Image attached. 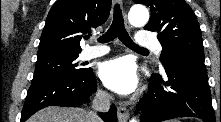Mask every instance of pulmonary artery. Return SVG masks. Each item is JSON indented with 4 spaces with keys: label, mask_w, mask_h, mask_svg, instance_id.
I'll return each mask as SVG.
<instances>
[{
    "label": "pulmonary artery",
    "mask_w": 221,
    "mask_h": 122,
    "mask_svg": "<svg viewBox=\"0 0 221 122\" xmlns=\"http://www.w3.org/2000/svg\"><path fill=\"white\" fill-rule=\"evenodd\" d=\"M137 45L142 48L153 49L157 54H160L162 51V46L155 36L152 34L141 32L137 37ZM109 52V48L106 46H88L82 53L81 58L83 60H89L103 56Z\"/></svg>",
    "instance_id": "pulmonary-artery-1"
}]
</instances>
